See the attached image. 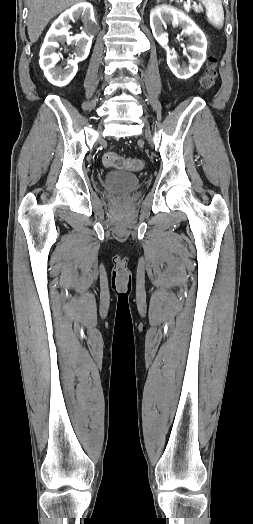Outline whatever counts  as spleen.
<instances>
[{
    "instance_id": "1",
    "label": "spleen",
    "mask_w": 253,
    "mask_h": 524,
    "mask_svg": "<svg viewBox=\"0 0 253 524\" xmlns=\"http://www.w3.org/2000/svg\"><path fill=\"white\" fill-rule=\"evenodd\" d=\"M206 7L208 21L216 28L221 29L224 24V11L221 0H199Z\"/></svg>"
}]
</instances>
